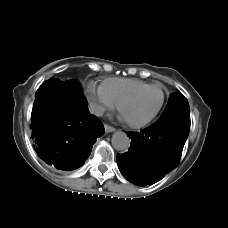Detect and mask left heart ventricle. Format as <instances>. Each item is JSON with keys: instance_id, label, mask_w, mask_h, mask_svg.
<instances>
[{"instance_id": "obj_1", "label": "left heart ventricle", "mask_w": 228, "mask_h": 228, "mask_svg": "<svg viewBox=\"0 0 228 228\" xmlns=\"http://www.w3.org/2000/svg\"><path fill=\"white\" fill-rule=\"evenodd\" d=\"M160 100L158 90H148L128 101L123 106L122 114L129 121L140 122L156 110Z\"/></svg>"}]
</instances>
